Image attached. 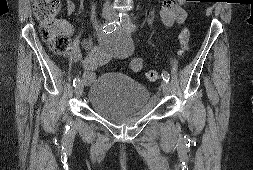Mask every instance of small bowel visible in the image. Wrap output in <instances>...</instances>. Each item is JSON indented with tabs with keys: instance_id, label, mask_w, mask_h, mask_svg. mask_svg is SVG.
Here are the masks:
<instances>
[{
	"instance_id": "obj_1",
	"label": "small bowel",
	"mask_w": 253,
	"mask_h": 170,
	"mask_svg": "<svg viewBox=\"0 0 253 170\" xmlns=\"http://www.w3.org/2000/svg\"><path fill=\"white\" fill-rule=\"evenodd\" d=\"M186 0H164L160 10V15L163 23L166 26H172L174 24H181L186 19V11L182 7ZM76 9L75 4L72 1H66V10L68 14H72ZM61 29L67 34L74 32V26L67 20L60 21ZM83 47L88 50V55L83 60V68L85 70L83 78L85 84H89L94 74L93 72L100 66L107 63L113 56L114 52L109 49L96 47L89 39L82 41ZM75 55L72 56V59ZM129 68L133 72H139L143 68V61L136 56L129 57Z\"/></svg>"
}]
</instances>
